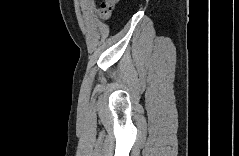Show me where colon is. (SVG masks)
Listing matches in <instances>:
<instances>
[{
  "label": "colon",
  "mask_w": 239,
  "mask_h": 156,
  "mask_svg": "<svg viewBox=\"0 0 239 156\" xmlns=\"http://www.w3.org/2000/svg\"><path fill=\"white\" fill-rule=\"evenodd\" d=\"M113 6H114L113 0H106V1L102 2V4H101L102 16L107 18L113 9Z\"/></svg>",
  "instance_id": "1"
}]
</instances>
